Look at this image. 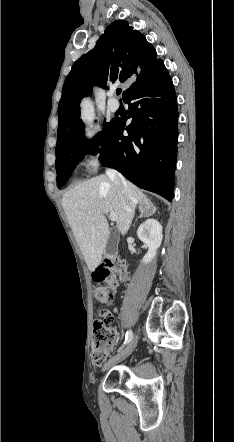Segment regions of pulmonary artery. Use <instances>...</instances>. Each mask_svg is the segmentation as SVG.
Instances as JSON below:
<instances>
[{
    "instance_id": "obj_1",
    "label": "pulmonary artery",
    "mask_w": 234,
    "mask_h": 442,
    "mask_svg": "<svg viewBox=\"0 0 234 442\" xmlns=\"http://www.w3.org/2000/svg\"><path fill=\"white\" fill-rule=\"evenodd\" d=\"M107 105H108V108L111 112H116L119 109V103L114 98L113 91L109 93V99H108Z\"/></svg>"
}]
</instances>
